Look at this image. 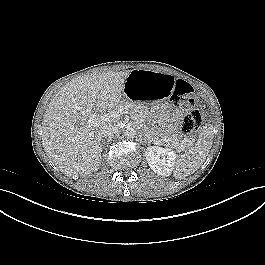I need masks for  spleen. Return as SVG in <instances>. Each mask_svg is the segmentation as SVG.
<instances>
[{"instance_id":"1","label":"spleen","mask_w":265,"mask_h":265,"mask_svg":"<svg viewBox=\"0 0 265 265\" xmlns=\"http://www.w3.org/2000/svg\"><path fill=\"white\" fill-rule=\"evenodd\" d=\"M213 132L204 130L196 144L189 149V154L178 157L174 166V176L182 179L194 173L203 164L212 146Z\"/></svg>"}]
</instances>
